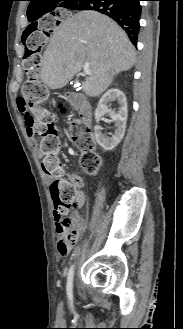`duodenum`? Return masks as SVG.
I'll use <instances>...</instances> for the list:
<instances>
[{
  "mask_svg": "<svg viewBox=\"0 0 183 329\" xmlns=\"http://www.w3.org/2000/svg\"><path fill=\"white\" fill-rule=\"evenodd\" d=\"M61 99L70 107L77 109L83 123L89 125L92 116L91 106L82 94L64 93Z\"/></svg>",
  "mask_w": 183,
  "mask_h": 329,
  "instance_id": "obj_1",
  "label": "duodenum"
}]
</instances>
